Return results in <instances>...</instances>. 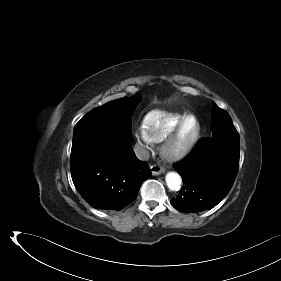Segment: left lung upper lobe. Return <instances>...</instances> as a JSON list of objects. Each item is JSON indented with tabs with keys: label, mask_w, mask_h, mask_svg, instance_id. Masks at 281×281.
I'll list each match as a JSON object with an SVG mask.
<instances>
[{
	"label": "left lung upper lobe",
	"mask_w": 281,
	"mask_h": 281,
	"mask_svg": "<svg viewBox=\"0 0 281 281\" xmlns=\"http://www.w3.org/2000/svg\"><path fill=\"white\" fill-rule=\"evenodd\" d=\"M212 138L218 140H228L238 135L228 113L219 108L215 103L212 104Z\"/></svg>",
	"instance_id": "1"
}]
</instances>
